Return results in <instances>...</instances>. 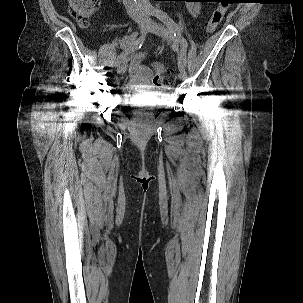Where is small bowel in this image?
<instances>
[{
	"instance_id": "c3829d8e",
	"label": "small bowel",
	"mask_w": 303,
	"mask_h": 303,
	"mask_svg": "<svg viewBox=\"0 0 303 303\" xmlns=\"http://www.w3.org/2000/svg\"><path fill=\"white\" fill-rule=\"evenodd\" d=\"M188 10L192 16L196 17L199 14L200 8L197 4H190L188 5ZM121 47L124 48L122 44ZM127 57L130 62L129 70L133 75L134 83L140 87L147 86L150 71L147 67L142 65V61L145 58V53H128Z\"/></svg>"
}]
</instances>
